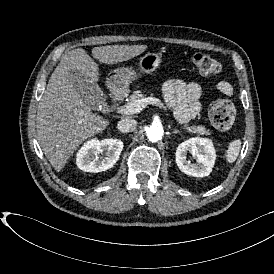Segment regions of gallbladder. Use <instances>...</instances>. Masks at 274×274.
<instances>
[{
	"instance_id": "1",
	"label": "gallbladder",
	"mask_w": 274,
	"mask_h": 274,
	"mask_svg": "<svg viewBox=\"0 0 274 274\" xmlns=\"http://www.w3.org/2000/svg\"><path fill=\"white\" fill-rule=\"evenodd\" d=\"M66 81L75 87L82 96L90 111L97 116L103 115L108 108L105 93L97 82H92L91 77L79 68H70L65 75Z\"/></svg>"
}]
</instances>
